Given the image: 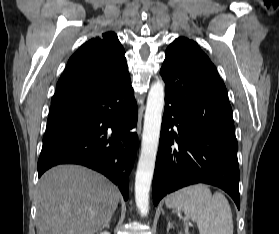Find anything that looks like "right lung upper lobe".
Wrapping results in <instances>:
<instances>
[{"mask_svg":"<svg viewBox=\"0 0 279 234\" xmlns=\"http://www.w3.org/2000/svg\"><path fill=\"white\" fill-rule=\"evenodd\" d=\"M124 48L113 32L84 43L69 59L51 103L104 87L128 72Z\"/></svg>","mask_w":279,"mask_h":234,"instance_id":"cb5924a9","label":"right lung upper lobe"}]
</instances>
